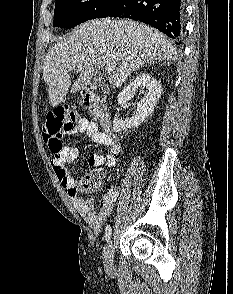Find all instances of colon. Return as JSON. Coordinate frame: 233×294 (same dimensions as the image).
I'll list each match as a JSON object with an SVG mask.
<instances>
[{
	"label": "colon",
	"instance_id": "5ec220e1",
	"mask_svg": "<svg viewBox=\"0 0 233 294\" xmlns=\"http://www.w3.org/2000/svg\"><path fill=\"white\" fill-rule=\"evenodd\" d=\"M78 113L69 106H58L48 112L43 124V138L50 152L55 158L63 153V137L78 123ZM101 180L97 175H85L79 181L84 191H97L101 187Z\"/></svg>",
	"mask_w": 233,
	"mask_h": 294
}]
</instances>
